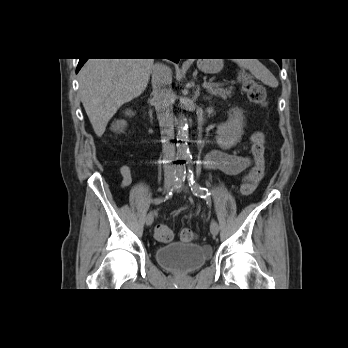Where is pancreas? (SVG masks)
<instances>
[{
	"label": "pancreas",
	"mask_w": 348,
	"mask_h": 348,
	"mask_svg": "<svg viewBox=\"0 0 348 348\" xmlns=\"http://www.w3.org/2000/svg\"><path fill=\"white\" fill-rule=\"evenodd\" d=\"M208 92L211 95L222 97L226 99L227 97H231L232 95V87L222 88V87H208Z\"/></svg>",
	"instance_id": "cf45deb5"
}]
</instances>
